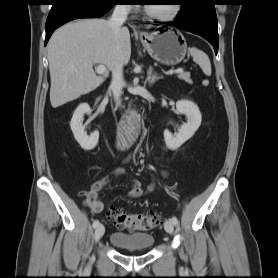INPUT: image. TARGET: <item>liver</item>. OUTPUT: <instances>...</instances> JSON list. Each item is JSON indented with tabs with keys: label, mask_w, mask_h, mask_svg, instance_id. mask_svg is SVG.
<instances>
[{
	"label": "liver",
	"mask_w": 278,
	"mask_h": 278,
	"mask_svg": "<svg viewBox=\"0 0 278 278\" xmlns=\"http://www.w3.org/2000/svg\"><path fill=\"white\" fill-rule=\"evenodd\" d=\"M130 56L131 40L126 27L115 37L104 19H82L63 25L48 43L52 107L90 93L104 82L105 77L94 72V64L112 71L118 62L126 65Z\"/></svg>",
	"instance_id": "6515ba94"
}]
</instances>
